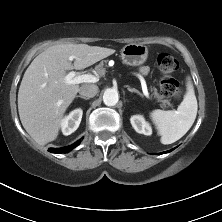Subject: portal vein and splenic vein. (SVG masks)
Returning a JSON list of instances; mask_svg holds the SVG:
<instances>
[{"label": "portal vein and splenic vein", "instance_id": "portal-vein-and-splenic-vein-1", "mask_svg": "<svg viewBox=\"0 0 222 222\" xmlns=\"http://www.w3.org/2000/svg\"><path fill=\"white\" fill-rule=\"evenodd\" d=\"M72 60V59H71ZM65 82L67 84H80V83H95L98 81V78L91 74H83L76 76V73L74 71L69 72L65 76ZM142 91L146 97H149V93L147 90V86L145 83V80L140 76Z\"/></svg>", "mask_w": 222, "mask_h": 222}]
</instances>
